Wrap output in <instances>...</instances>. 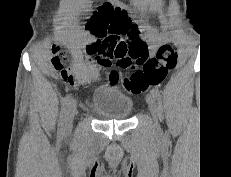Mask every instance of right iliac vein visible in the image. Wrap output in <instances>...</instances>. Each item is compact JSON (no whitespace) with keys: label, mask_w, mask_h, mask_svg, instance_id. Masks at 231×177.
<instances>
[{"label":"right iliac vein","mask_w":231,"mask_h":177,"mask_svg":"<svg viewBox=\"0 0 231 177\" xmlns=\"http://www.w3.org/2000/svg\"><path fill=\"white\" fill-rule=\"evenodd\" d=\"M76 113V102L73 101L67 111V115H66V121H65V130L66 132H70L72 129V125H73V119Z\"/></svg>","instance_id":"1"}]
</instances>
